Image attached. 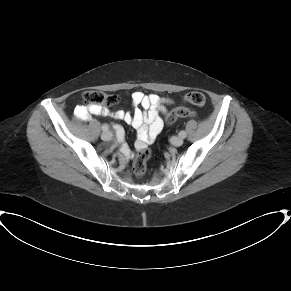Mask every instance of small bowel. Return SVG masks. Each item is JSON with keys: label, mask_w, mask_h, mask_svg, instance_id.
Instances as JSON below:
<instances>
[{"label": "small bowel", "mask_w": 291, "mask_h": 291, "mask_svg": "<svg viewBox=\"0 0 291 291\" xmlns=\"http://www.w3.org/2000/svg\"><path fill=\"white\" fill-rule=\"evenodd\" d=\"M131 102L135 107L132 113L123 110L112 111L108 108H87L84 105H77L74 114L79 119H89L92 115H101L124 121L137 130L139 139L135 146L136 149H142L153 142L159 134L163 127L161 114H165L167 106L174 102L170 99L160 98L155 94L145 95L141 91L132 93ZM115 128L119 134L122 133L121 127L116 126ZM120 149L125 159L134 156V152L127 144L121 143Z\"/></svg>", "instance_id": "c3829d8e"}]
</instances>
